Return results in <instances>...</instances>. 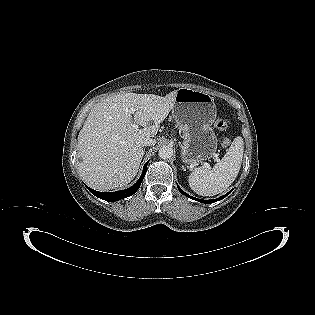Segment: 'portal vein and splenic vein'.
<instances>
[{
  "mask_svg": "<svg viewBox=\"0 0 315 315\" xmlns=\"http://www.w3.org/2000/svg\"><path fill=\"white\" fill-rule=\"evenodd\" d=\"M129 112L132 113V114H134L135 109H134V108H130ZM133 127H134V128H138V125L134 123V124H133Z\"/></svg>",
  "mask_w": 315,
  "mask_h": 315,
  "instance_id": "1",
  "label": "portal vein and splenic vein"
}]
</instances>
